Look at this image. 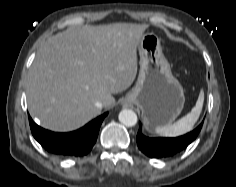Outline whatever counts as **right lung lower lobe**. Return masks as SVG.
<instances>
[{
	"mask_svg": "<svg viewBox=\"0 0 236 187\" xmlns=\"http://www.w3.org/2000/svg\"><path fill=\"white\" fill-rule=\"evenodd\" d=\"M107 113L92 120L84 127L69 133H55L38 126L29 117L34 138L48 152L65 157L87 155L97 140L101 123Z\"/></svg>",
	"mask_w": 236,
	"mask_h": 187,
	"instance_id": "right-lung-lower-lobe-1",
	"label": "right lung lower lobe"
}]
</instances>
